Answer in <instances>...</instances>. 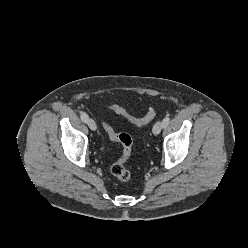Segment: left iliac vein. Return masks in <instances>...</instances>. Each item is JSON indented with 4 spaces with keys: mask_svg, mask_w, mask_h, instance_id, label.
Wrapping results in <instances>:
<instances>
[{
    "mask_svg": "<svg viewBox=\"0 0 248 248\" xmlns=\"http://www.w3.org/2000/svg\"><path fill=\"white\" fill-rule=\"evenodd\" d=\"M162 128H163L162 122L157 121L152 128L153 134L158 135L161 132Z\"/></svg>",
    "mask_w": 248,
    "mask_h": 248,
    "instance_id": "obj_1",
    "label": "left iliac vein"
}]
</instances>
